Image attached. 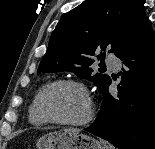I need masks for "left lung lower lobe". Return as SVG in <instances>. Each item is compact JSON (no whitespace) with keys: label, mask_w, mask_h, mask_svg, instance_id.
<instances>
[{"label":"left lung lower lobe","mask_w":155,"mask_h":149,"mask_svg":"<svg viewBox=\"0 0 155 149\" xmlns=\"http://www.w3.org/2000/svg\"><path fill=\"white\" fill-rule=\"evenodd\" d=\"M155 32L147 18L115 55L123 61L117 98L101 89L104 101L85 128L119 149H155Z\"/></svg>","instance_id":"1"}]
</instances>
